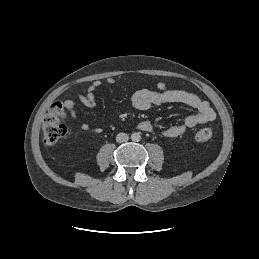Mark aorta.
<instances>
[{
	"instance_id": "aorta-1",
	"label": "aorta",
	"mask_w": 259,
	"mask_h": 259,
	"mask_svg": "<svg viewBox=\"0 0 259 259\" xmlns=\"http://www.w3.org/2000/svg\"><path fill=\"white\" fill-rule=\"evenodd\" d=\"M131 139L133 141H139L141 139V137L138 133H133L132 136H131Z\"/></svg>"
}]
</instances>
